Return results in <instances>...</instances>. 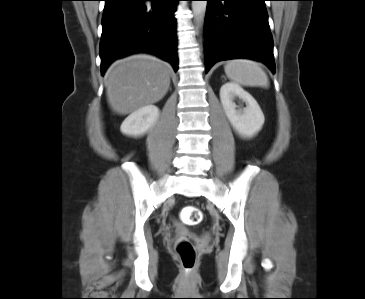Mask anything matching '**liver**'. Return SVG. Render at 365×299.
Masks as SVG:
<instances>
[{
	"mask_svg": "<svg viewBox=\"0 0 365 299\" xmlns=\"http://www.w3.org/2000/svg\"><path fill=\"white\" fill-rule=\"evenodd\" d=\"M171 67L151 55H134L111 65L105 75L107 100L126 115L160 101L170 86Z\"/></svg>",
	"mask_w": 365,
	"mask_h": 299,
	"instance_id": "1",
	"label": "liver"
}]
</instances>
